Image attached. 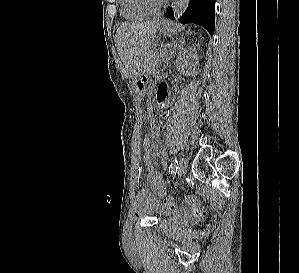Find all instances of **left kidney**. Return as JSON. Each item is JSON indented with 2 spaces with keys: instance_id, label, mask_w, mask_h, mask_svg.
<instances>
[{
  "instance_id": "1",
  "label": "left kidney",
  "mask_w": 299,
  "mask_h": 273,
  "mask_svg": "<svg viewBox=\"0 0 299 273\" xmlns=\"http://www.w3.org/2000/svg\"><path fill=\"white\" fill-rule=\"evenodd\" d=\"M176 68L183 74L193 75L197 72L198 55L194 48L183 49L176 57Z\"/></svg>"
}]
</instances>
